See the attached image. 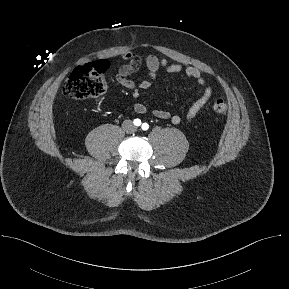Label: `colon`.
I'll list each match as a JSON object with an SVG mask.
<instances>
[{
  "label": "colon",
  "instance_id": "colon-1",
  "mask_svg": "<svg viewBox=\"0 0 289 289\" xmlns=\"http://www.w3.org/2000/svg\"><path fill=\"white\" fill-rule=\"evenodd\" d=\"M108 68L109 64L104 61L77 67L64 82V94L75 100L103 94L106 90L105 74ZM213 109L219 114H224L227 111V105L224 100L218 99L214 102Z\"/></svg>",
  "mask_w": 289,
  "mask_h": 289
}]
</instances>
